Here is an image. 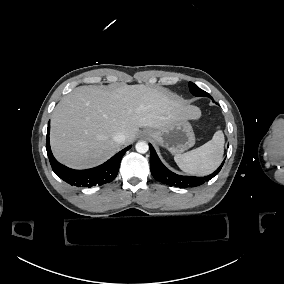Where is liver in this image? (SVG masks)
I'll use <instances>...</instances> for the list:
<instances>
[{"mask_svg":"<svg viewBox=\"0 0 284 284\" xmlns=\"http://www.w3.org/2000/svg\"><path fill=\"white\" fill-rule=\"evenodd\" d=\"M194 106L172 100L165 90L126 85L109 92L97 86H81L63 97L51 122V144L61 162L76 168L95 166L122 146L114 135L132 143L141 127L165 128L178 120L199 121Z\"/></svg>","mask_w":284,"mask_h":284,"instance_id":"6515ba94","label":"liver"}]
</instances>
